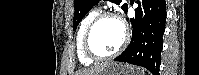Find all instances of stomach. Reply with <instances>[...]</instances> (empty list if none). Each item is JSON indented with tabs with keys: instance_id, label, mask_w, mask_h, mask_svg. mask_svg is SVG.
I'll use <instances>...</instances> for the list:
<instances>
[{
	"instance_id": "1",
	"label": "stomach",
	"mask_w": 199,
	"mask_h": 75,
	"mask_svg": "<svg viewBox=\"0 0 199 75\" xmlns=\"http://www.w3.org/2000/svg\"><path fill=\"white\" fill-rule=\"evenodd\" d=\"M98 75H144V71L122 63H111Z\"/></svg>"
}]
</instances>
